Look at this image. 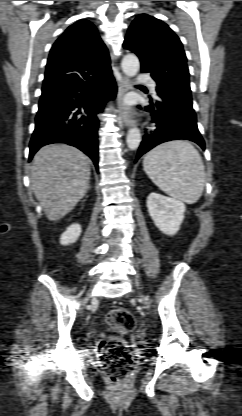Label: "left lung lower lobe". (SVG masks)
<instances>
[{
    "label": "left lung lower lobe",
    "mask_w": 242,
    "mask_h": 416,
    "mask_svg": "<svg viewBox=\"0 0 242 416\" xmlns=\"http://www.w3.org/2000/svg\"><path fill=\"white\" fill-rule=\"evenodd\" d=\"M145 109L151 112L155 125L150 134L144 135L136 160L158 144L171 140H190L205 149L204 140L197 128L192 100L162 91L157 92V99H151Z\"/></svg>",
    "instance_id": "1"
}]
</instances>
